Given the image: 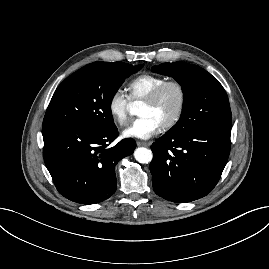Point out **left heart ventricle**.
<instances>
[{"label":"left heart ventricle","mask_w":269,"mask_h":269,"mask_svg":"<svg viewBox=\"0 0 269 269\" xmlns=\"http://www.w3.org/2000/svg\"><path fill=\"white\" fill-rule=\"evenodd\" d=\"M178 105V90L174 87H169L162 93L156 103L152 105L142 103L139 110V115L151 116L162 126L171 120L177 111Z\"/></svg>","instance_id":"1"}]
</instances>
